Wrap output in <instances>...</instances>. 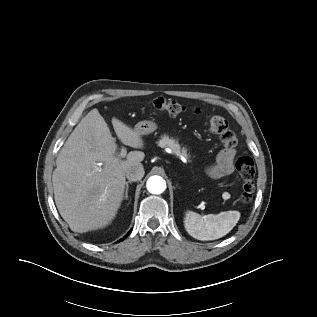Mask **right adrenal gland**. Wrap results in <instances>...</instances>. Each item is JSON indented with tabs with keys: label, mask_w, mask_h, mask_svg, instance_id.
I'll use <instances>...</instances> for the list:
<instances>
[{
	"label": "right adrenal gland",
	"mask_w": 317,
	"mask_h": 317,
	"mask_svg": "<svg viewBox=\"0 0 317 317\" xmlns=\"http://www.w3.org/2000/svg\"><path fill=\"white\" fill-rule=\"evenodd\" d=\"M128 189H129V182H126V190H125L124 199H128Z\"/></svg>",
	"instance_id": "right-adrenal-gland-1"
}]
</instances>
